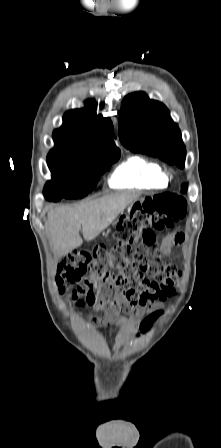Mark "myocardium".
I'll use <instances>...</instances> for the list:
<instances>
[{
  "label": "myocardium",
  "mask_w": 221,
  "mask_h": 448,
  "mask_svg": "<svg viewBox=\"0 0 221 448\" xmlns=\"http://www.w3.org/2000/svg\"><path fill=\"white\" fill-rule=\"evenodd\" d=\"M164 177L168 180L172 176V171L170 169L163 171Z\"/></svg>",
  "instance_id": "f54148a6"
}]
</instances>
